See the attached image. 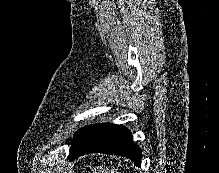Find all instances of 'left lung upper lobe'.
Instances as JSON below:
<instances>
[{"label": "left lung upper lobe", "instance_id": "5c2ea615", "mask_svg": "<svg viewBox=\"0 0 219 173\" xmlns=\"http://www.w3.org/2000/svg\"><path fill=\"white\" fill-rule=\"evenodd\" d=\"M85 127L84 128H81L79 131H77L74 135V140L72 142V146L75 144V142L78 140V138L81 136L82 132L84 131ZM71 146V147H72Z\"/></svg>", "mask_w": 219, "mask_h": 173}]
</instances>
